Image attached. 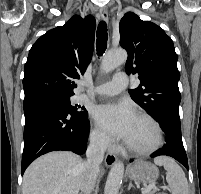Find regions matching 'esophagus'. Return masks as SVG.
<instances>
[{
	"label": "esophagus",
	"instance_id": "esophagus-1",
	"mask_svg": "<svg viewBox=\"0 0 201 194\" xmlns=\"http://www.w3.org/2000/svg\"><path fill=\"white\" fill-rule=\"evenodd\" d=\"M99 16L105 22H108V10L106 7L101 8L99 12ZM117 161V157L112 153H107L105 156V164L108 167H112Z\"/></svg>",
	"mask_w": 201,
	"mask_h": 194
}]
</instances>
